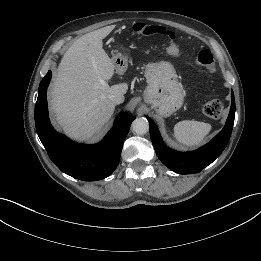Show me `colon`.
Returning <instances> with one entry per match:
<instances>
[{
    "mask_svg": "<svg viewBox=\"0 0 261 261\" xmlns=\"http://www.w3.org/2000/svg\"><path fill=\"white\" fill-rule=\"evenodd\" d=\"M133 30L141 35H161L164 38V44L167 52L173 56H179V49L175 41V34L166 30L163 27L155 25H147L143 23H136ZM195 64L206 69L210 74L215 70V60L213 54L208 49L201 50L196 59ZM224 106L219 100H210L203 106V113L210 118L219 119L223 114Z\"/></svg>",
    "mask_w": 261,
    "mask_h": 261,
    "instance_id": "colon-1",
    "label": "colon"
}]
</instances>
